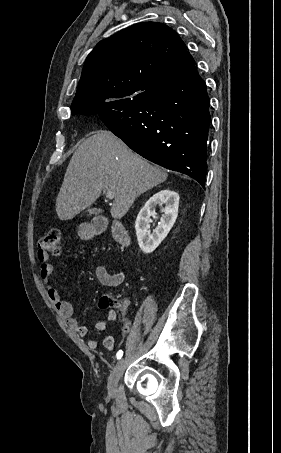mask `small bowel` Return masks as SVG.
I'll return each mask as SVG.
<instances>
[{"label":"small bowel","mask_w":281,"mask_h":453,"mask_svg":"<svg viewBox=\"0 0 281 453\" xmlns=\"http://www.w3.org/2000/svg\"><path fill=\"white\" fill-rule=\"evenodd\" d=\"M94 273L99 283L104 286H120L125 280V273L119 272H108L103 266H95ZM40 276L44 283L47 291L49 300L55 305L58 312L64 317L69 326L81 337L85 338L88 335V330L83 324L82 320L75 316L73 307L67 301L61 299L60 293L55 286L53 280V268L48 262H42L40 265ZM120 311L125 313L129 307L128 302L123 301L120 304ZM118 318V313L110 309L107 311V319L97 322L96 329L99 332H103L108 328L109 321H115ZM103 345L106 349L112 350L115 347V338L111 334H107L103 339ZM87 346L89 349H97L98 339L96 337L87 338Z\"/></svg>","instance_id":"obj_1"}]
</instances>
